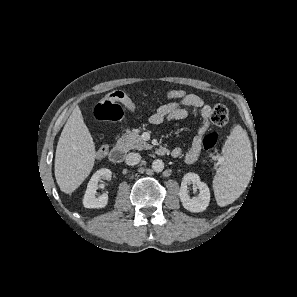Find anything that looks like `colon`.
Wrapping results in <instances>:
<instances>
[{
	"label": "colon",
	"instance_id": "5ec220e1",
	"mask_svg": "<svg viewBox=\"0 0 297 297\" xmlns=\"http://www.w3.org/2000/svg\"><path fill=\"white\" fill-rule=\"evenodd\" d=\"M188 93L182 89L170 90L166 97L170 100H179L184 98ZM132 99L122 91H114L106 98L101 100L95 107L94 115L98 121H109L118 123L123 118L122 105L126 107L127 104H132ZM134 104V103H133ZM211 122L216 126H223L229 120V110L223 104L215 105L210 115ZM218 141L216 133H210L204 137L203 146L205 150L209 151L215 147ZM109 151L107 144H102L96 151L98 158H104Z\"/></svg>",
	"mask_w": 297,
	"mask_h": 297
}]
</instances>
